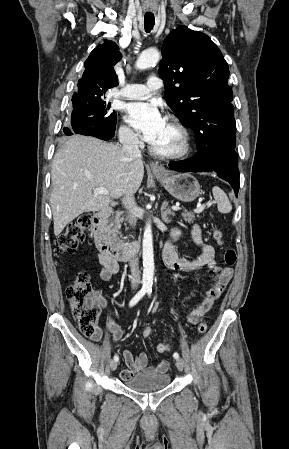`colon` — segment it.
I'll return each instance as SVG.
<instances>
[{
    "label": "colon",
    "mask_w": 289,
    "mask_h": 449,
    "mask_svg": "<svg viewBox=\"0 0 289 449\" xmlns=\"http://www.w3.org/2000/svg\"><path fill=\"white\" fill-rule=\"evenodd\" d=\"M90 221L91 217L84 214L70 222L57 239L58 251L60 253H74L78 245L84 240ZM212 235L216 243L222 244L223 235L218 228L213 229ZM236 260V252L233 249H227L224 254L225 264L233 266ZM66 295L79 330L86 337H94L98 331L100 301L92 291L89 275L84 271L75 273L73 281L66 289ZM197 331L200 334H204L207 331V324L201 322L197 327ZM151 334L152 329L150 327H146L142 332L144 338L150 337ZM168 350L169 346L163 351L167 352Z\"/></svg>",
    "instance_id": "5ec220e1"
}]
</instances>
